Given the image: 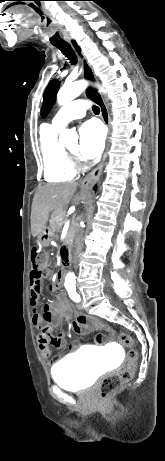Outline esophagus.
Listing matches in <instances>:
<instances>
[{
	"label": "esophagus",
	"mask_w": 165,
	"mask_h": 461,
	"mask_svg": "<svg viewBox=\"0 0 165 461\" xmlns=\"http://www.w3.org/2000/svg\"><path fill=\"white\" fill-rule=\"evenodd\" d=\"M69 43L72 46V48L75 50V52H76V54L78 56V59H79L81 65H82V71H83L84 78L89 80V81L97 82V79H96V77L94 75L92 67L88 63L85 56L83 55L78 42L76 40H74V39H71V40H69ZM88 71L91 72V75H87ZM88 92H89V90L86 91L87 94H88ZM97 93L100 95V97L102 99V102L99 104L100 109H101V117H102V120L105 123V125L108 127L107 142H106V147H105V151H104V154H103L101 162L99 163V165L92 172H90L81 181L80 185L83 188L92 187L94 185V183L98 180V178H99V176L101 174V171H102L104 161H105V159L107 157L108 150H109V142H110V135H111L110 116H109L107 105L105 103V100H104L101 92L97 91Z\"/></svg>",
	"instance_id": "1"
}]
</instances>
